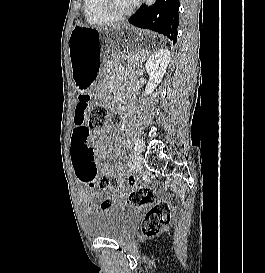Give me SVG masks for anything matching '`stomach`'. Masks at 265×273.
Segmentation results:
<instances>
[{"label": "stomach", "mask_w": 265, "mask_h": 273, "mask_svg": "<svg viewBox=\"0 0 265 273\" xmlns=\"http://www.w3.org/2000/svg\"><path fill=\"white\" fill-rule=\"evenodd\" d=\"M164 45L149 30L128 26L99 29L83 24L73 27L69 36V57L74 81L78 87L90 86L96 78H107L118 64H136L140 56ZM124 49V51H122Z\"/></svg>", "instance_id": "1"}]
</instances>
